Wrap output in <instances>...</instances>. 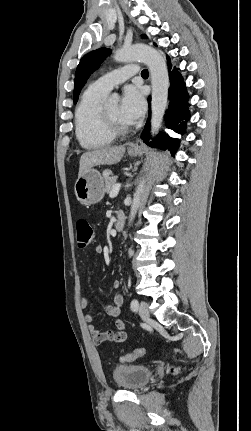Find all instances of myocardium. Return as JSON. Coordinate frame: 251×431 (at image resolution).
<instances>
[{
  "instance_id": "1",
  "label": "myocardium",
  "mask_w": 251,
  "mask_h": 431,
  "mask_svg": "<svg viewBox=\"0 0 251 431\" xmlns=\"http://www.w3.org/2000/svg\"><path fill=\"white\" fill-rule=\"evenodd\" d=\"M101 117L102 122L106 130L114 135V136H120L125 135L130 131V127L128 125H122L115 121L105 110L104 107L101 108Z\"/></svg>"
}]
</instances>
